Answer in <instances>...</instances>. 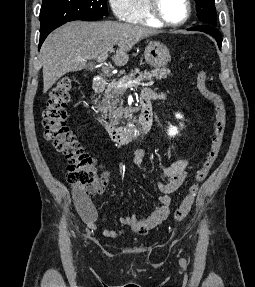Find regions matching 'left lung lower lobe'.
I'll list each match as a JSON object with an SVG mask.
<instances>
[{
    "label": "left lung lower lobe",
    "mask_w": 255,
    "mask_h": 287,
    "mask_svg": "<svg viewBox=\"0 0 255 287\" xmlns=\"http://www.w3.org/2000/svg\"><path fill=\"white\" fill-rule=\"evenodd\" d=\"M215 27L216 26H213V25H204V26L192 27V28H189L188 30L202 31V32L208 33L209 35L213 36L216 39L219 48H221V44H222L221 33Z\"/></svg>",
    "instance_id": "obj_1"
}]
</instances>
